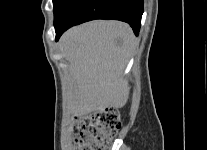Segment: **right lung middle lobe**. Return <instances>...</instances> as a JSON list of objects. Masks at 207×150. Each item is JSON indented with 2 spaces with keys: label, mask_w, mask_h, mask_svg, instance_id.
I'll list each match as a JSON object with an SVG mask.
<instances>
[{
  "label": "right lung middle lobe",
  "mask_w": 207,
  "mask_h": 150,
  "mask_svg": "<svg viewBox=\"0 0 207 150\" xmlns=\"http://www.w3.org/2000/svg\"><path fill=\"white\" fill-rule=\"evenodd\" d=\"M70 0H53L54 19L59 15Z\"/></svg>",
  "instance_id": "1"
}]
</instances>
